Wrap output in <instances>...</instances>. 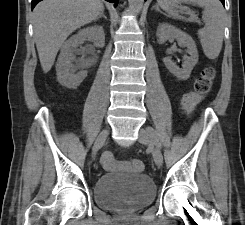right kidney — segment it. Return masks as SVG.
<instances>
[{"mask_svg": "<svg viewBox=\"0 0 245 225\" xmlns=\"http://www.w3.org/2000/svg\"><path fill=\"white\" fill-rule=\"evenodd\" d=\"M86 39H92L94 46L105 45V34L102 26H91L80 30L70 37L61 47V52L56 63L57 79L62 86L77 88L87 76L86 70L75 73L77 69L84 68L83 60H77L74 54L76 48ZM76 62V64H73Z\"/></svg>", "mask_w": 245, "mask_h": 225, "instance_id": "1", "label": "right kidney"}]
</instances>
